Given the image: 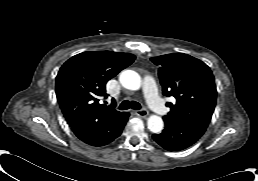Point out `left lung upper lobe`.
I'll list each match as a JSON object with an SVG mask.
<instances>
[{
  "label": "left lung upper lobe",
  "mask_w": 258,
  "mask_h": 181,
  "mask_svg": "<svg viewBox=\"0 0 258 181\" xmlns=\"http://www.w3.org/2000/svg\"><path fill=\"white\" fill-rule=\"evenodd\" d=\"M159 65V77L170 112L164 120L185 123L206 130L216 104L217 91L210 68L202 61L183 53L151 58Z\"/></svg>",
  "instance_id": "5c2ea615"
}]
</instances>
